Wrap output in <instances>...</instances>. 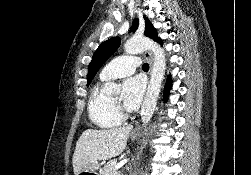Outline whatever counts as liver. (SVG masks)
<instances>
[{
	"mask_svg": "<svg viewBox=\"0 0 251 175\" xmlns=\"http://www.w3.org/2000/svg\"><path fill=\"white\" fill-rule=\"evenodd\" d=\"M131 129L132 125L114 129H85L76 141L72 157L75 175L98 159H110L119 155L127 145Z\"/></svg>",
	"mask_w": 251,
	"mask_h": 175,
	"instance_id": "obj_1",
	"label": "liver"
}]
</instances>
